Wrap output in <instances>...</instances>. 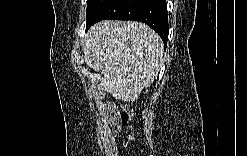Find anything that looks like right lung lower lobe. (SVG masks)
<instances>
[{"instance_id":"right-lung-lower-lobe-1","label":"right lung lower lobe","mask_w":247,"mask_h":156,"mask_svg":"<svg viewBox=\"0 0 247 156\" xmlns=\"http://www.w3.org/2000/svg\"><path fill=\"white\" fill-rule=\"evenodd\" d=\"M104 19L146 23L160 35L164 45L167 43L169 24L166 0H110L86 29Z\"/></svg>"}]
</instances>
